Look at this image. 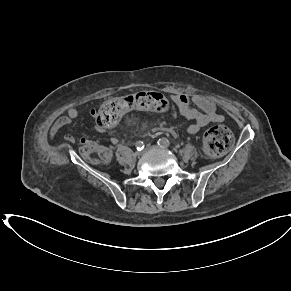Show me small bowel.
Returning <instances> with one entry per match:
<instances>
[{
	"instance_id": "small-bowel-1",
	"label": "small bowel",
	"mask_w": 291,
	"mask_h": 291,
	"mask_svg": "<svg viewBox=\"0 0 291 291\" xmlns=\"http://www.w3.org/2000/svg\"><path fill=\"white\" fill-rule=\"evenodd\" d=\"M173 103L175 104L179 114L185 119L191 121L187 131L190 134L197 133L201 128L211 123H221L224 121V116L219 113L216 104L209 98L199 94H175L172 96ZM92 115L96 117L97 111L92 110ZM79 110L76 107L68 109L67 113L59 117L51 126L49 131V139L53 140L57 133L65 126L70 125L75 119L79 117ZM66 142L73 144L76 138L73 135L66 136ZM80 144H85L88 139L81 137L78 139ZM113 144L118 143L117 138H112Z\"/></svg>"
}]
</instances>
